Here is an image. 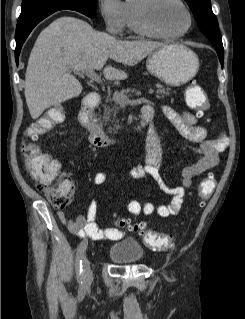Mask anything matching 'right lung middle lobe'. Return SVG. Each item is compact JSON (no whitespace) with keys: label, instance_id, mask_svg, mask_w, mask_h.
Here are the masks:
<instances>
[{"label":"right lung middle lobe","instance_id":"dd1d6c3e","mask_svg":"<svg viewBox=\"0 0 245 319\" xmlns=\"http://www.w3.org/2000/svg\"><path fill=\"white\" fill-rule=\"evenodd\" d=\"M61 9L75 10L93 18L96 14V0H23L18 24Z\"/></svg>","mask_w":245,"mask_h":319}]
</instances>
